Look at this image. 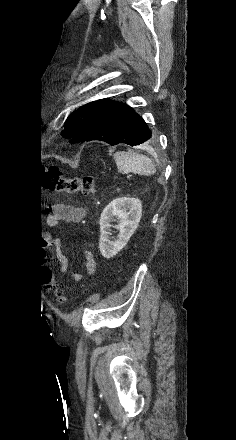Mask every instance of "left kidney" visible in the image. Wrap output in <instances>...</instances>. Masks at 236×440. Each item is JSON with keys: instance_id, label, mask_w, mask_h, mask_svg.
<instances>
[{"instance_id": "1", "label": "left kidney", "mask_w": 236, "mask_h": 440, "mask_svg": "<svg viewBox=\"0 0 236 440\" xmlns=\"http://www.w3.org/2000/svg\"><path fill=\"white\" fill-rule=\"evenodd\" d=\"M142 216V203L139 199L119 197L111 201L100 216L99 249L102 256L110 259L120 252L135 232ZM119 232L116 238H111L112 222Z\"/></svg>"}]
</instances>
